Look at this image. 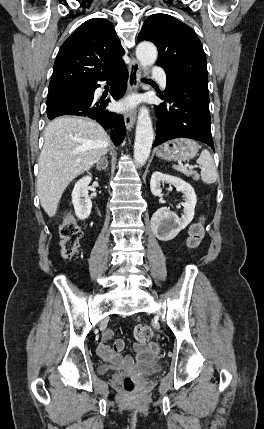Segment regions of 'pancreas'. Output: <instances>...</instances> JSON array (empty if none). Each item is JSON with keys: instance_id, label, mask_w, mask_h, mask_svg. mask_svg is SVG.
I'll return each mask as SVG.
<instances>
[{"instance_id": "cf45deb5", "label": "pancreas", "mask_w": 264, "mask_h": 429, "mask_svg": "<svg viewBox=\"0 0 264 429\" xmlns=\"http://www.w3.org/2000/svg\"><path fill=\"white\" fill-rule=\"evenodd\" d=\"M191 174L194 176V179H197V178H198V174H197V172H195V171H191Z\"/></svg>"}]
</instances>
